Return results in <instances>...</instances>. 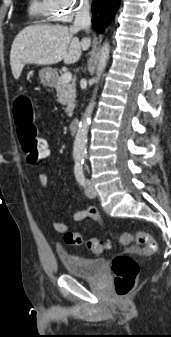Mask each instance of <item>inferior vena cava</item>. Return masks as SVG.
<instances>
[{
  "label": "inferior vena cava",
  "mask_w": 171,
  "mask_h": 337,
  "mask_svg": "<svg viewBox=\"0 0 171 337\" xmlns=\"http://www.w3.org/2000/svg\"><path fill=\"white\" fill-rule=\"evenodd\" d=\"M91 25V17L89 13V4L87 2L82 3L75 13V20L73 28L89 30Z\"/></svg>",
  "instance_id": "inferior-vena-cava-1"
}]
</instances>
